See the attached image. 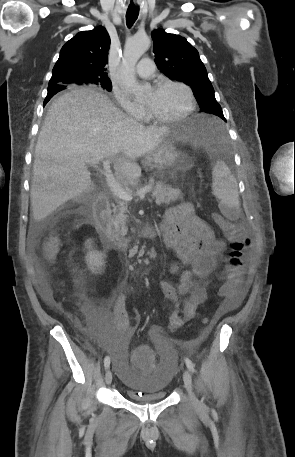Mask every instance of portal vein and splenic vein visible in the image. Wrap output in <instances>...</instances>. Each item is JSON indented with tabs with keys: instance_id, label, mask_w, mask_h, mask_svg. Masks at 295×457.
Instances as JSON below:
<instances>
[{
	"instance_id": "1",
	"label": "portal vein and splenic vein",
	"mask_w": 295,
	"mask_h": 457,
	"mask_svg": "<svg viewBox=\"0 0 295 457\" xmlns=\"http://www.w3.org/2000/svg\"><path fill=\"white\" fill-rule=\"evenodd\" d=\"M110 164L111 160L107 159L103 161V170H104V175L107 181V184L112 191V193L117 196L118 198L125 200V201H130L133 199V195L125 191L121 185L118 183L116 180L113 172L110 169ZM152 190L151 186H145L144 188H141L139 191H137L136 195L138 196H145L146 193L150 192Z\"/></svg>"
}]
</instances>
